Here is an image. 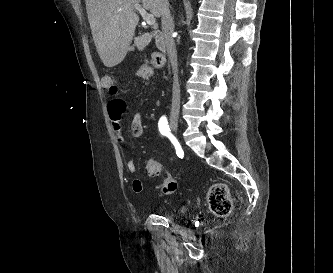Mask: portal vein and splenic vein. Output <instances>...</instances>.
<instances>
[{
	"label": "portal vein and splenic vein",
	"mask_w": 333,
	"mask_h": 273,
	"mask_svg": "<svg viewBox=\"0 0 333 273\" xmlns=\"http://www.w3.org/2000/svg\"><path fill=\"white\" fill-rule=\"evenodd\" d=\"M135 9L141 14V16L148 25H155V17L152 14H148L141 5H135ZM119 11L120 10L118 9L117 12Z\"/></svg>",
	"instance_id": "1"
}]
</instances>
